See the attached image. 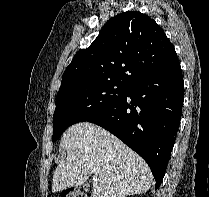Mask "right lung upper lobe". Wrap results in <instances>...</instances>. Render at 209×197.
<instances>
[{
    "mask_svg": "<svg viewBox=\"0 0 209 197\" xmlns=\"http://www.w3.org/2000/svg\"><path fill=\"white\" fill-rule=\"evenodd\" d=\"M177 56L161 27L140 12L111 18L86 49L66 68L61 88L82 82L116 80L132 85Z\"/></svg>",
    "mask_w": 209,
    "mask_h": 197,
    "instance_id": "cb5924a9",
    "label": "right lung upper lobe"
}]
</instances>
